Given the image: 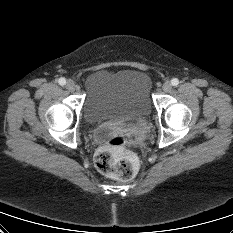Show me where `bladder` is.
<instances>
[{"label": "bladder", "mask_w": 233, "mask_h": 233, "mask_svg": "<svg viewBox=\"0 0 233 233\" xmlns=\"http://www.w3.org/2000/svg\"><path fill=\"white\" fill-rule=\"evenodd\" d=\"M151 89L150 76L139 69L94 71L84 80L83 118L95 126L106 121L147 117L152 111Z\"/></svg>", "instance_id": "bladder-1"}]
</instances>
